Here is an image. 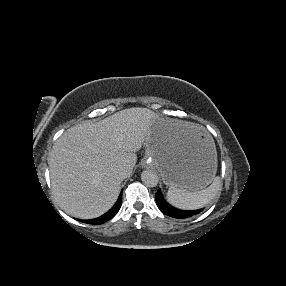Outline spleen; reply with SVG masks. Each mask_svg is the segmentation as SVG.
<instances>
[{
  "label": "spleen",
  "mask_w": 286,
  "mask_h": 286,
  "mask_svg": "<svg viewBox=\"0 0 286 286\" xmlns=\"http://www.w3.org/2000/svg\"><path fill=\"white\" fill-rule=\"evenodd\" d=\"M221 187L219 177H215L212 184L200 191H186L175 186H170L167 192L168 202L179 209L194 210L208 204L218 193Z\"/></svg>",
  "instance_id": "1"
}]
</instances>
